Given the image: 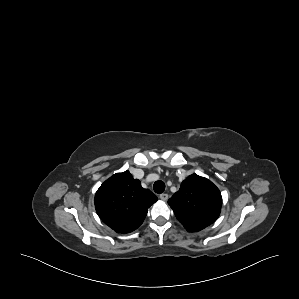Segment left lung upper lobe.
Instances as JSON below:
<instances>
[{
	"instance_id": "left-lung-upper-lobe-1",
	"label": "left lung upper lobe",
	"mask_w": 299,
	"mask_h": 299,
	"mask_svg": "<svg viewBox=\"0 0 299 299\" xmlns=\"http://www.w3.org/2000/svg\"><path fill=\"white\" fill-rule=\"evenodd\" d=\"M177 219L187 231L196 232L214 223L220 215L222 196L207 178L192 174L169 200Z\"/></svg>"
}]
</instances>
